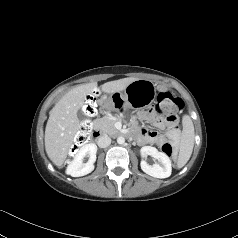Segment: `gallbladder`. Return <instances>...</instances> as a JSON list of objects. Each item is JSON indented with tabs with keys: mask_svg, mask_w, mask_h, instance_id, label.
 Wrapping results in <instances>:
<instances>
[{
	"mask_svg": "<svg viewBox=\"0 0 238 238\" xmlns=\"http://www.w3.org/2000/svg\"><path fill=\"white\" fill-rule=\"evenodd\" d=\"M77 116H78L79 119H81V120L85 118V116H84V114H83L82 111H78Z\"/></svg>",
	"mask_w": 238,
	"mask_h": 238,
	"instance_id": "bac80fb5",
	"label": "gallbladder"
}]
</instances>
